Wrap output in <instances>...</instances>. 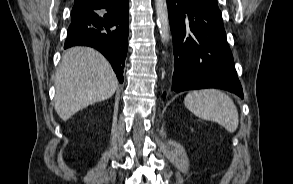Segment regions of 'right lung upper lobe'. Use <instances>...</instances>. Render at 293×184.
Here are the masks:
<instances>
[{
    "label": "right lung upper lobe",
    "instance_id": "obj_1",
    "mask_svg": "<svg viewBox=\"0 0 293 184\" xmlns=\"http://www.w3.org/2000/svg\"><path fill=\"white\" fill-rule=\"evenodd\" d=\"M95 1H101V0H75V4L83 3L85 5H90V3H94ZM103 1V0H102Z\"/></svg>",
    "mask_w": 293,
    "mask_h": 184
}]
</instances>
